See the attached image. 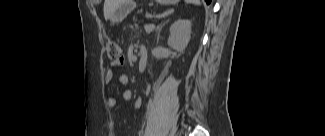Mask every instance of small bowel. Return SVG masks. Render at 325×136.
<instances>
[{"label":"small bowel","mask_w":325,"mask_h":136,"mask_svg":"<svg viewBox=\"0 0 325 136\" xmlns=\"http://www.w3.org/2000/svg\"><path fill=\"white\" fill-rule=\"evenodd\" d=\"M122 62H113V66H118L120 65ZM114 79V72L113 70L109 69L106 71L105 73V82L107 84L111 83ZM118 81L120 84L122 85H126L128 84L129 82V76L127 74H120L119 77H118ZM122 98L123 100L125 101H130L132 100L133 98V93L130 89H125L122 93ZM107 106L109 108H114L117 106V103H118V100L115 96H109L107 98ZM134 107L135 108H140L142 106V98L141 97H137L135 100H134V103H133Z\"/></svg>","instance_id":"obj_1"}]
</instances>
